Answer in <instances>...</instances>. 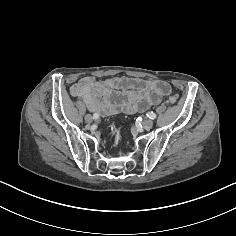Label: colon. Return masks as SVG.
I'll list each match as a JSON object with an SVG mask.
<instances>
[{
	"instance_id": "obj_1",
	"label": "colon",
	"mask_w": 236,
	"mask_h": 236,
	"mask_svg": "<svg viewBox=\"0 0 236 236\" xmlns=\"http://www.w3.org/2000/svg\"><path fill=\"white\" fill-rule=\"evenodd\" d=\"M178 101H179V98H178L177 95H172V96H170L169 99H168V102H169L170 104H172V105L177 104Z\"/></svg>"
}]
</instances>
